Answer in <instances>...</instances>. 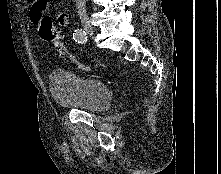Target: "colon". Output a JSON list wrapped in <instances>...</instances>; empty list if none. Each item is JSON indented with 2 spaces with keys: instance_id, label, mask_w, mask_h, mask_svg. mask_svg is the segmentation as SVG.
<instances>
[{
  "instance_id": "colon-1",
  "label": "colon",
  "mask_w": 221,
  "mask_h": 174,
  "mask_svg": "<svg viewBox=\"0 0 221 174\" xmlns=\"http://www.w3.org/2000/svg\"><path fill=\"white\" fill-rule=\"evenodd\" d=\"M38 34L41 39L53 43L56 50L63 56H67L79 69L83 71L91 70V66L77 60L74 57L68 56L64 43L62 42V34L59 29L55 28L50 17L42 18L38 27Z\"/></svg>"
}]
</instances>
